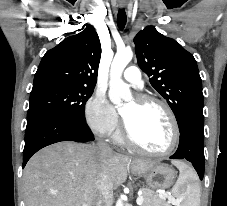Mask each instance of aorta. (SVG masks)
I'll return each mask as SVG.
<instances>
[{
    "instance_id": "obj_1",
    "label": "aorta",
    "mask_w": 227,
    "mask_h": 206,
    "mask_svg": "<svg viewBox=\"0 0 227 206\" xmlns=\"http://www.w3.org/2000/svg\"><path fill=\"white\" fill-rule=\"evenodd\" d=\"M131 49L117 51L110 69L109 99L112 103L120 105L123 100L131 98L129 86L122 80V73L127 64L132 60ZM116 206H124L122 196L118 199Z\"/></svg>"
}]
</instances>
